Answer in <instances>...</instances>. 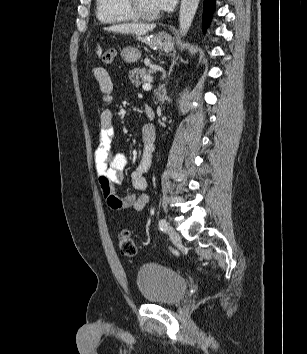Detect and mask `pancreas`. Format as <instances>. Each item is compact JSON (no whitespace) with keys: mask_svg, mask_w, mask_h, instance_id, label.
I'll return each instance as SVG.
<instances>
[{"mask_svg":"<svg viewBox=\"0 0 307 354\" xmlns=\"http://www.w3.org/2000/svg\"><path fill=\"white\" fill-rule=\"evenodd\" d=\"M154 72L155 71L152 69L135 68L129 71V79L135 87H139L142 83L152 80V74Z\"/></svg>","mask_w":307,"mask_h":354,"instance_id":"pancreas-1","label":"pancreas"}]
</instances>
